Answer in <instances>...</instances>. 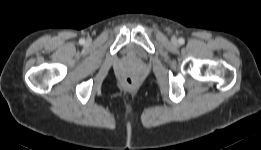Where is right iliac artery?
<instances>
[{"label":"right iliac artery","instance_id":"82829eb1","mask_svg":"<svg viewBox=\"0 0 261 150\" xmlns=\"http://www.w3.org/2000/svg\"><path fill=\"white\" fill-rule=\"evenodd\" d=\"M79 43H80V44H84V43H85V40H84V39H80Z\"/></svg>","mask_w":261,"mask_h":150}]
</instances>
